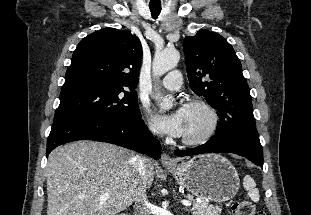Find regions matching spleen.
<instances>
[{
    "mask_svg": "<svg viewBox=\"0 0 311 215\" xmlns=\"http://www.w3.org/2000/svg\"><path fill=\"white\" fill-rule=\"evenodd\" d=\"M243 186L245 190L248 191V196L251 198V200L253 202H258L260 196L254 179L251 176L246 175L243 179Z\"/></svg>",
    "mask_w": 311,
    "mask_h": 215,
    "instance_id": "obj_1",
    "label": "spleen"
}]
</instances>
